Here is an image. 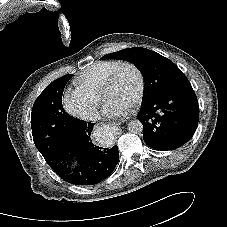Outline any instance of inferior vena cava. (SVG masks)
Listing matches in <instances>:
<instances>
[{
	"instance_id": "1",
	"label": "inferior vena cava",
	"mask_w": 227,
	"mask_h": 227,
	"mask_svg": "<svg viewBox=\"0 0 227 227\" xmlns=\"http://www.w3.org/2000/svg\"><path fill=\"white\" fill-rule=\"evenodd\" d=\"M85 120H90V121H97L100 118V115L97 111L90 110L85 113L83 116Z\"/></svg>"
}]
</instances>
